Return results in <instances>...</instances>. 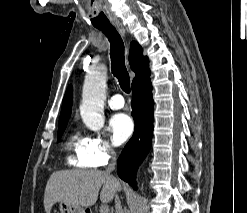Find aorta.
<instances>
[{
	"label": "aorta",
	"mask_w": 247,
	"mask_h": 213,
	"mask_svg": "<svg viewBox=\"0 0 247 213\" xmlns=\"http://www.w3.org/2000/svg\"><path fill=\"white\" fill-rule=\"evenodd\" d=\"M107 69L100 66L90 71L84 81L80 114L84 124L93 131L104 126Z\"/></svg>",
	"instance_id": "aorta-1"
}]
</instances>
